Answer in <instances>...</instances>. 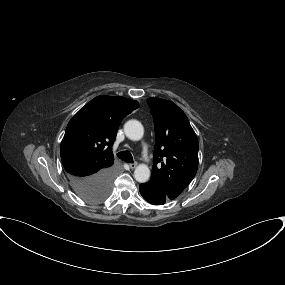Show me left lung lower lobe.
I'll use <instances>...</instances> for the list:
<instances>
[{
	"label": "left lung lower lobe",
	"mask_w": 285,
	"mask_h": 285,
	"mask_svg": "<svg viewBox=\"0 0 285 285\" xmlns=\"http://www.w3.org/2000/svg\"><path fill=\"white\" fill-rule=\"evenodd\" d=\"M139 191L142 197L152 205H163L173 198L166 193L161 184L150 180L147 183L140 184Z\"/></svg>",
	"instance_id": "left-lung-lower-lobe-1"
}]
</instances>
